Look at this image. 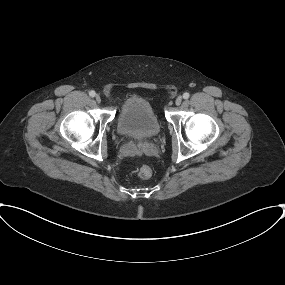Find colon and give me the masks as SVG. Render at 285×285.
<instances>
[{
    "label": "colon",
    "instance_id": "obj_1",
    "mask_svg": "<svg viewBox=\"0 0 285 285\" xmlns=\"http://www.w3.org/2000/svg\"><path fill=\"white\" fill-rule=\"evenodd\" d=\"M137 174L142 179H147L151 176L152 171L148 165H141L137 168Z\"/></svg>",
    "mask_w": 285,
    "mask_h": 285
}]
</instances>
